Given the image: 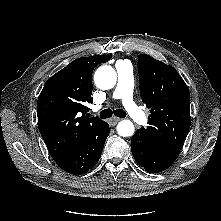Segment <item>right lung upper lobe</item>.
<instances>
[{
	"mask_svg": "<svg viewBox=\"0 0 221 221\" xmlns=\"http://www.w3.org/2000/svg\"><path fill=\"white\" fill-rule=\"evenodd\" d=\"M111 55L81 57L46 82L37 102L38 128L53 159L104 123L85 115L91 103L92 72Z\"/></svg>",
	"mask_w": 221,
	"mask_h": 221,
	"instance_id": "cb5924a9",
	"label": "right lung upper lobe"
}]
</instances>
